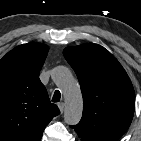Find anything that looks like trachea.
Segmentation results:
<instances>
[{
  "label": "trachea",
  "instance_id": "trachea-1",
  "mask_svg": "<svg viewBox=\"0 0 141 141\" xmlns=\"http://www.w3.org/2000/svg\"><path fill=\"white\" fill-rule=\"evenodd\" d=\"M60 98H61V93H60V91L56 90L54 92L53 97H52V102H59Z\"/></svg>",
  "mask_w": 141,
  "mask_h": 141
}]
</instances>
